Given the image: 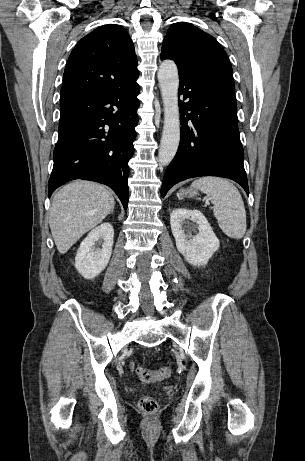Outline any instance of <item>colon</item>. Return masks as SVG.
I'll list each match as a JSON object with an SVG mask.
<instances>
[{"label":"colon","mask_w":305,"mask_h":461,"mask_svg":"<svg viewBox=\"0 0 305 461\" xmlns=\"http://www.w3.org/2000/svg\"><path fill=\"white\" fill-rule=\"evenodd\" d=\"M135 371L138 378L143 382L158 381L168 378L171 375V367L169 365L160 367L156 370L138 366ZM138 407L141 411L152 414L157 411L158 403L151 396H143L139 399Z\"/></svg>","instance_id":"colon-1"}]
</instances>
